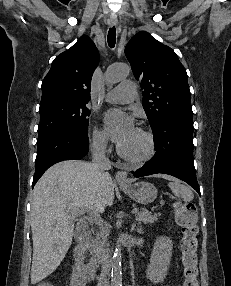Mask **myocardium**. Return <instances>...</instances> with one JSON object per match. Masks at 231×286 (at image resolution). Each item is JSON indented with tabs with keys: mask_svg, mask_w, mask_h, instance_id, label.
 I'll list each match as a JSON object with an SVG mask.
<instances>
[{
	"mask_svg": "<svg viewBox=\"0 0 231 286\" xmlns=\"http://www.w3.org/2000/svg\"><path fill=\"white\" fill-rule=\"evenodd\" d=\"M136 130L146 140L147 148L145 152L139 156H132V155L127 154L120 145L117 147V152L123 159H125L126 161L130 163L143 164L147 162L148 160H150L155 154V149H156L155 139H154L153 134L144 128L140 127V128H137Z\"/></svg>",
	"mask_w": 231,
	"mask_h": 286,
	"instance_id": "obj_1",
	"label": "myocardium"
}]
</instances>
